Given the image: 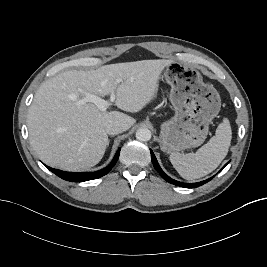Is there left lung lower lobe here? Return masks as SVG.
Wrapping results in <instances>:
<instances>
[{
  "label": "left lung lower lobe",
  "instance_id": "0a47b994",
  "mask_svg": "<svg viewBox=\"0 0 267 267\" xmlns=\"http://www.w3.org/2000/svg\"><path fill=\"white\" fill-rule=\"evenodd\" d=\"M150 152H151V160H152V163H153L154 168L156 169V171L160 174V176H161L164 180H166L167 182H169V183H171V184H174V185H177V186H181V187H185V188H196V187H199V186L205 184L206 182L210 181V180L214 177V176H213V177H211V178H209V179H206V180L201 181V182H198V183H182V182L176 181V180L170 178L169 176H167V175L163 172V170L161 169V167L159 166V164H158V162H157V159H156V157H155L153 151L150 150ZM228 163H229V162H228ZM228 163H227V164H228ZM227 164H226V165H227ZM226 165H225V166H226ZM225 166H224V167H225ZM224 167H223V168H224ZM223 168H222V169H223Z\"/></svg>",
  "mask_w": 267,
  "mask_h": 267
}]
</instances>
